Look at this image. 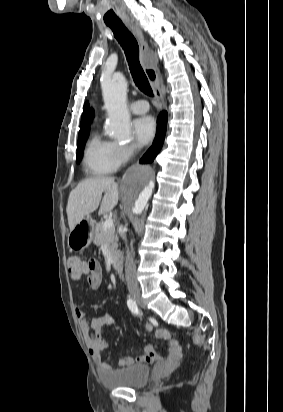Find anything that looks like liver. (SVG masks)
I'll list each match as a JSON object with an SVG mask.
<instances>
[{
  "mask_svg": "<svg viewBox=\"0 0 283 412\" xmlns=\"http://www.w3.org/2000/svg\"><path fill=\"white\" fill-rule=\"evenodd\" d=\"M118 200V185L113 177L88 178L81 181L68 197L66 212L70 231L85 216L96 211L99 205L98 214L104 215L117 205Z\"/></svg>",
  "mask_w": 283,
  "mask_h": 412,
  "instance_id": "obj_1",
  "label": "liver"
}]
</instances>
